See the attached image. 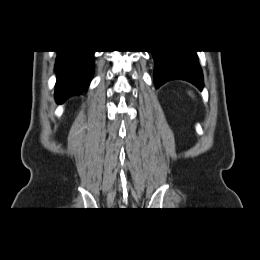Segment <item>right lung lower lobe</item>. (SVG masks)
I'll return each instance as SVG.
<instances>
[{"instance_id": "obj_1", "label": "right lung lower lobe", "mask_w": 260, "mask_h": 260, "mask_svg": "<svg viewBox=\"0 0 260 260\" xmlns=\"http://www.w3.org/2000/svg\"><path fill=\"white\" fill-rule=\"evenodd\" d=\"M94 51H58L55 98L58 103L84 93L94 72Z\"/></svg>"}]
</instances>
